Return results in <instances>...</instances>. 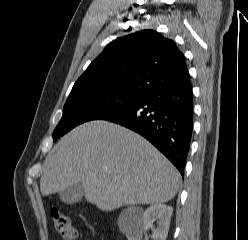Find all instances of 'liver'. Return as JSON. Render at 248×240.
I'll use <instances>...</instances> for the list:
<instances>
[{
  "label": "liver",
  "instance_id": "6515ba94",
  "mask_svg": "<svg viewBox=\"0 0 248 240\" xmlns=\"http://www.w3.org/2000/svg\"><path fill=\"white\" fill-rule=\"evenodd\" d=\"M181 175L151 143L103 120L79 125L49 153L40 180L43 196L81 184L85 198L103 211L170 201Z\"/></svg>",
  "mask_w": 248,
  "mask_h": 240
}]
</instances>
